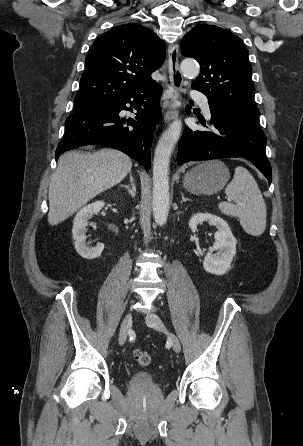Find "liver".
<instances>
[{
	"label": "liver",
	"mask_w": 303,
	"mask_h": 446,
	"mask_svg": "<svg viewBox=\"0 0 303 446\" xmlns=\"http://www.w3.org/2000/svg\"><path fill=\"white\" fill-rule=\"evenodd\" d=\"M131 168L130 157L115 149L63 154L49 185V224L61 223L92 198L120 183Z\"/></svg>",
	"instance_id": "liver-1"
}]
</instances>
